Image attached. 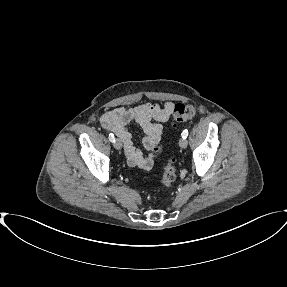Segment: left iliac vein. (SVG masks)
I'll use <instances>...</instances> for the list:
<instances>
[{
    "instance_id": "1",
    "label": "left iliac vein",
    "mask_w": 287,
    "mask_h": 287,
    "mask_svg": "<svg viewBox=\"0 0 287 287\" xmlns=\"http://www.w3.org/2000/svg\"><path fill=\"white\" fill-rule=\"evenodd\" d=\"M179 145H180L181 148H186L187 145H188L187 140L184 139V138H181V139L179 140Z\"/></svg>"
}]
</instances>
